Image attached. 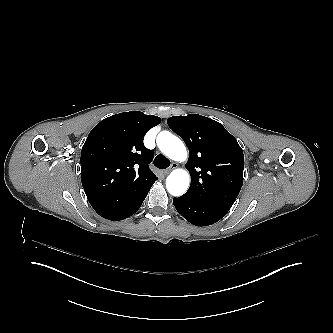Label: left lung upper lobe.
I'll return each mask as SVG.
<instances>
[{"instance_id":"left-lung-upper-lobe-1","label":"left lung upper lobe","mask_w":333,"mask_h":333,"mask_svg":"<svg viewBox=\"0 0 333 333\" xmlns=\"http://www.w3.org/2000/svg\"><path fill=\"white\" fill-rule=\"evenodd\" d=\"M168 126L186 143L191 175L187 197L232 206L242 184L244 155L235 137L217 121L198 115L173 116Z\"/></svg>"}]
</instances>
